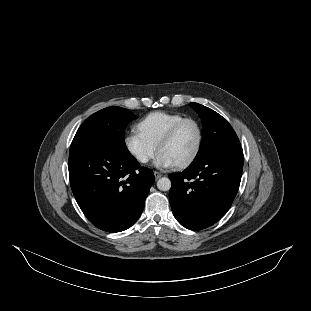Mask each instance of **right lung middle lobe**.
Segmentation results:
<instances>
[{
    "instance_id": "right-lung-middle-lobe-1",
    "label": "right lung middle lobe",
    "mask_w": 311,
    "mask_h": 311,
    "mask_svg": "<svg viewBox=\"0 0 311 311\" xmlns=\"http://www.w3.org/2000/svg\"><path fill=\"white\" fill-rule=\"evenodd\" d=\"M130 110L113 106L91 115L80 126L70 146V151L79 147L100 143L121 151H128L124 141L127 123L136 119Z\"/></svg>"
}]
</instances>
